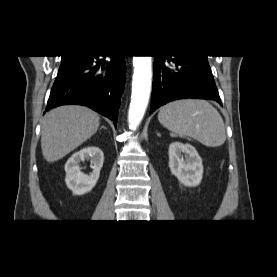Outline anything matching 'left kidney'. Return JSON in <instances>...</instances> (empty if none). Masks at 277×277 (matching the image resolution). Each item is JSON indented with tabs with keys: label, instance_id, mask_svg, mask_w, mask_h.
<instances>
[{
	"label": "left kidney",
	"instance_id": "obj_1",
	"mask_svg": "<svg viewBox=\"0 0 277 277\" xmlns=\"http://www.w3.org/2000/svg\"><path fill=\"white\" fill-rule=\"evenodd\" d=\"M169 168L184 186L195 187L202 180V159L190 144L173 142L169 145Z\"/></svg>",
	"mask_w": 277,
	"mask_h": 277
}]
</instances>
